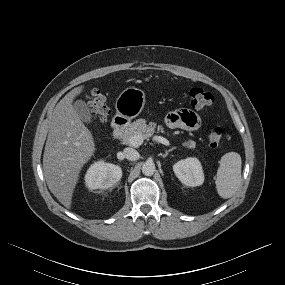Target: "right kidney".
I'll return each mask as SVG.
<instances>
[{"label":"right kidney","instance_id":"ca27d5eb","mask_svg":"<svg viewBox=\"0 0 285 285\" xmlns=\"http://www.w3.org/2000/svg\"><path fill=\"white\" fill-rule=\"evenodd\" d=\"M121 177V167L104 161H97L87 170L85 184L91 190H104L115 185Z\"/></svg>","mask_w":285,"mask_h":285}]
</instances>
